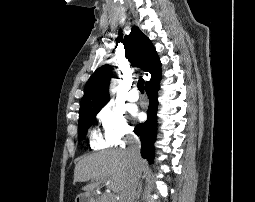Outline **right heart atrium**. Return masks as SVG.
Masks as SVG:
<instances>
[{
  "label": "right heart atrium",
  "mask_w": 255,
  "mask_h": 202,
  "mask_svg": "<svg viewBox=\"0 0 255 202\" xmlns=\"http://www.w3.org/2000/svg\"><path fill=\"white\" fill-rule=\"evenodd\" d=\"M97 118L101 128L96 141L99 147L120 145L132 134V127L129 125L123 110L113 104L104 105L99 110Z\"/></svg>",
  "instance_id": "obj_1"
}]
</instances>
